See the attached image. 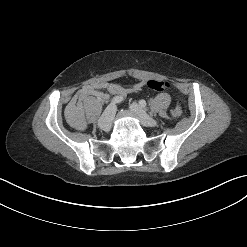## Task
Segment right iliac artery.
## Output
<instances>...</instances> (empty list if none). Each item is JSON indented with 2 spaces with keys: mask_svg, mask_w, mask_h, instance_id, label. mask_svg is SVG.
Masks as SVG:
<instances>
[{
  "mask_svg": "<svg viewBox=\"0 0 247 247\" xmlns=\"http://www.w3.org/2000/svg\"><path fill=\"white\" fill-rule=\"evenodd\" d=\"M123 96H115L112 98L111 100V104H116V103H120L123 101Z\"/></svg>",
  "mask_w": 247,
  "mask_h": 247,
  "instance_id": "right-iliac-artery-1",
  "label": "right iliac artery"
}]
</instances>
